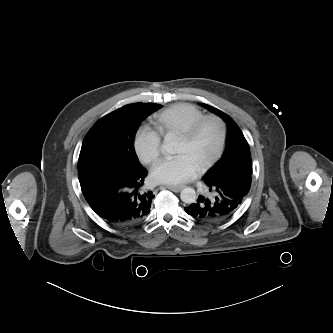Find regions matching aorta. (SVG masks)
Masks as SVG:
<instances>
[{"instance_id": "aorta-1", "label": "aorta", "mask_w": 333, "mask_h": 333, "mask_svg": "<svg viewBox=\"0 0 333 333\" xmlns=\"http://www.w3.org/2000/svg\"><path fill=\"white\" fill-rule=\"evenodd\" d=\"M176 142L169 137H166L161 149L168 153L174 154L176 152L175 149ZM180 198L184 203L192 204L196 201V192L193 188H184L180 193Z\"/></svg>"}]
</instances>
